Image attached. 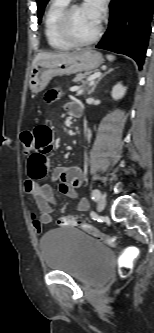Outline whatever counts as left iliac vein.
I'll list each match as a JSON object with an SVG mask.
<instances>
[{"instance_id": "obj_1", "label": "left iliac vein", "mask_w": 154, "mask_h": 333, "mask_svg": "<svg viewBox=\"0 0 154 333\" xmlns=\"http://www.w3.org/2000/svg\"><path fill=\"white\" fill-rule=\"evenodd\" d=\"M106 206V198L104 196H100L97 202V210L101 212Z\"/></svg>"}]
</instances>
